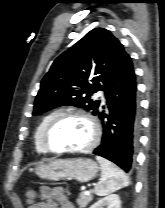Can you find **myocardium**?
<instances>
[{
	"label": "myocardium",
	"instance_id": "1",
	"mask_svg": "<svg viewBox=\"0 0 165 208\" xmlns=\"http://www.w3.org/2000/svg\"><path fill=\"white\" fill-rule=\"evenodd\" d=\"M69 117H78L85 119L91 126L92 129V137L89 143L81 148L77 149H56L50 145L49 142V135L53 128L61 122L63 119L69 118ZM101 137V129L100 125L97 121V119L91 115L90 113L84 112V111H77V110H68V111H62L58 115H56L45 127L43 131V144L44 147L48 152L56 153V154H80V153H86L90 150H92L96 145L98 144Z\"/></svg>",
	"mask_w": 165,
	"mask_h": 208
}]
</instances>
